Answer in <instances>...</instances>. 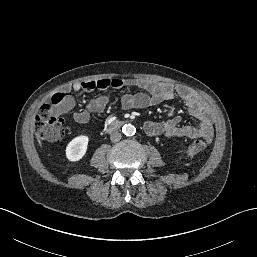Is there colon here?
<instances>
[{"instance_id":"colon-1","label":"colon","mask_w":257,"mask_h":257,"mask_svg":"<svg viewBox=\"0 0 257 257\" xmlns=\"http://www.w3.org/2000/svg\"><path fill=\"white\" fill-rule=\"evenodd\" d=\"M67 95L64 92L55 93L49 103L44 104L35 118L34 129L44 141L54 142L63 138L65 126L61 114ZM207 146L205 138L197 139L192 147L184 152L183 157L191 158L195 153L203 151Z\"/></svg>"}]
</instances>
